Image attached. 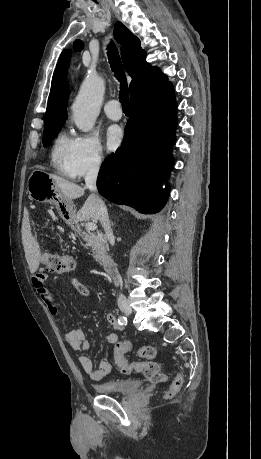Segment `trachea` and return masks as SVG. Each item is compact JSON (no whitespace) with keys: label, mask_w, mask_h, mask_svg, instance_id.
<instances>
[{"label":"trachea","mask_w":261,"mask_h":459,"mask_svg":"<svg viewBox=\"0 0 261 459\" xmlns=\"http://www.w3.org/2000/svg\"><path fill=\"white\" fill-rule=\"evenodd\" d=\"M108 59L111 65L112 71L115 73V77L120 82V93H119V100L122 104L123 110H130L129 105V90L126 82V76L123 69V65L119 56L118 49L113 41L110 42V46L108 47Z\"/></svg>","instance_id":"obj_1"}]
</instances>
